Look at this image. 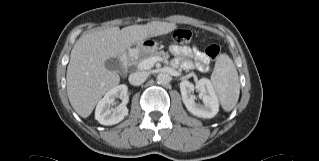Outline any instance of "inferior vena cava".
<instances>
[{
  "label": "inferior vena cava",
  "mask_w": 319,
  "mask_h": 161,
  "mask_svg": "<svg viewBox=\"0 0 319 161\" xmlns=\"http://www.w3.org/2000/svg\"><path fill=\"white\" fill-rule=\"evenodd\" d=\"M148 77V73L144 71H137L129 75V82L132 85L138 86L141 85L146 78Z\"/></svg>",
  "instance_id": "inferior-vena-cava-1"
}]
</instances>
